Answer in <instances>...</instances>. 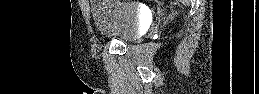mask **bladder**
<instances>
[{
  "label": "bladder",
  "instance_id": "obj_1",
  "mask_svg": "<svg viewBox=\"0 0 259 94\" xmlns=\"http://www.w3.org/2000/svg\"><path fill=\"white\" fill-rule=\"evenodd\" d=\"M93 19L97 32L108 39L131 42L142 34V14L133 3L96 1Z\"/></svg>",
  "mask_w": 259,
  "mask_h": 94
}]
</instances>
